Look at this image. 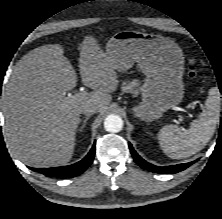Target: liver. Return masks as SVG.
Here are the masks:
<instances>
[{"label": "liver", "instance_id": "1", "mask_svg": "<svg viewBox=\"0 0 222 219\" xmlns=\"http://www.w3.org/2000/svg\"><path fill=\"white\" fill-rule=\"evenodd\" d=\"M82 83L94 92L65 97L77 75L59 44L33 49L16 64L3 94L5 134L15 156L28 166L55 167L72 158L80 114L98 105L104 114L118 87L114 61L92 35L84 37L79 57Z\"/></svg>", "mask_w": 222, "mask_h": 219}]
</instances>
